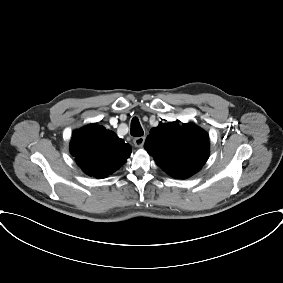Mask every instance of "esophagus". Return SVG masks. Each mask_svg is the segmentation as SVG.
Listing matches in <instances>:
<instances>
[{"label": "esophagus", "mask_w": 283, "mask_h": 283, "mask_svg": "<svg viewBox=\"0 0 283 283\" xmlns=\"http://www.w3.org/2000/svg\"><path fill=\"white\" fill-rule=\"evenodd\" d=\"M145 142V137L140 136V137H135L133 139V144L135 147H142L144 145Z\"/></svg>", "instance_id": "esophagus-1"}]
</instances>
